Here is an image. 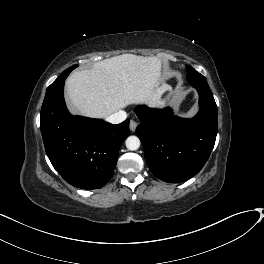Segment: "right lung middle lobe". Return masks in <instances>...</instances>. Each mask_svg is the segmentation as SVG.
<instances>
[{
	"label": "right lung middle lobe",
	"mask_w": 264,
	"mask_h": 264,
	"mask_svg": "<svg viewBox=\"0 0 264 264\" xmlns=\"http://www.w3.org/2000/svg\"><path fill=\"white\" fill-rule=\"evenodd\" d=\"M78 65H74V66H71L69 67L68 69H66L64 72H62L58 78L48 87V89H51L55 86H57L60 82L64 81L66 79V77L69 75V73L75 69ZM47 89V90H48Z\"/></svg>",
	"instance_id": "right-lung-middle-lobe-1"
}]
</instances>
